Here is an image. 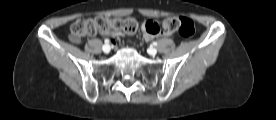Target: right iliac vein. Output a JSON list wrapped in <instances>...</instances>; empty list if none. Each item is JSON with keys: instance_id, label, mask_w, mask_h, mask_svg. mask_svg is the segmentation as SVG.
Returning <instances> with one entry per match:
<instances>
[{"instance_id": "1", "label": "right iliac vein", "mask_w": 276, "mask_h": 120, "mask_svg": "<svg viewBox=\"0 0 276 120\" xmlns=\"http://www.w3.org/2000/svg\"><path fill=\"white\" fill-rule=\"evenodd\" d=\"M102 49L106 54L110 52V46L108 44L103 45Z\"/></svg>"}]
</instances>
